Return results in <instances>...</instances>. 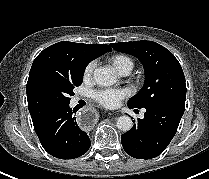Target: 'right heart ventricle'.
<instances>
[{"mask_svg":"<svg viewBox=\"0 0 209 179\" xmlns=\"http://www.w3.org/2000/svg\"><path fill=\"white\" fill-rule=\"evenodd\" d=\"M109 61L114 69L118 72L123 70H128L130 72V70L133 68V60L124 54L114 55L109 59Z\"/></svg>","mask_w":209,"mask_h":179,"instance_id":"1","label":"right heart ventricle"}]
</instances>
